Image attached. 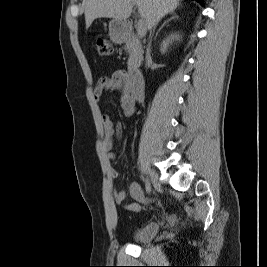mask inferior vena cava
<instances>
[{
    "mask_svg": "<svg viewBox=\"0 0 267 267\" xmlns=\"http://www.w3.org/2000/svg\"><path fill=\"white\" fill-rule=\"evenodd\" d=\"M158 19H156L155 21H154V23H153V27L155 28V26L157 25V23H158ZM150 38H151V35H150ZM150 42H151V40H150ZM150 42H149V44H148V48H147V53H146V60H149V58H150Z\"/></svg>",
    "mask_w": 267,
    "mask_h": 267,
    "instance_id": "1",
    "label": "inferior vena cava"
}]
</instances>
